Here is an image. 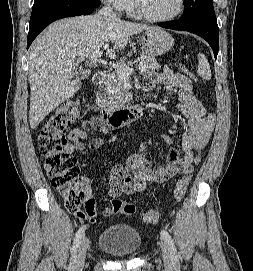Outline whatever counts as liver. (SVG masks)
I'll return each mask as SVG.
<instances>
[{
	"instance_id": "obj_1",
	"label": "liver",
	"mask_w": 253,
	"mask_h": 271,
	"mask_svg": "<svg viewBox=\"0 0 253 271\" xmlns=\"http://www.w3.org/2000/svg\"><path fill=\"white\" fill-rule=\"evenodd\" d=\"M152 29L99 14L65 18L48 26L29 50L30 127L35 129L81 88L76 72L79 63L102 49L116 58L130 36Z\"/></svg>"
}]
</instances>
